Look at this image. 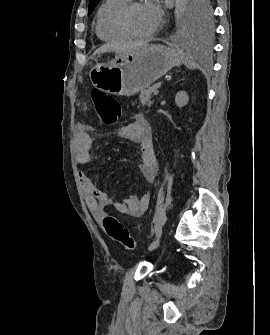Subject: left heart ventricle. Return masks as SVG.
<instances>
[{
	"label": "left heart ventricle",
	"mask_w": 270,
	"mask_h": 335,
	"mask_svg": "<svg viewBox=\"0 0 270 335\" xmlns=\"http://www.w3.org/2000/svg\"><path fill=\"white\" fill-rule=\"evenodd\" d=\"M128 26L135 34L143 35L146 32V22L141 7H135L129 13Z\"/></svg>",
	"instance_id": "left-heart-ventricle-1"
}]
</instances>
